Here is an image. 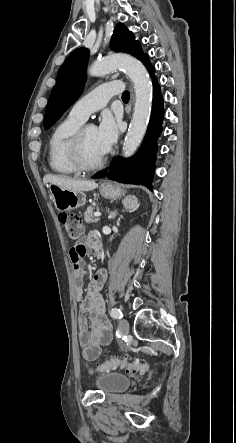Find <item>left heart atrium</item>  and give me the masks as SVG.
<instances>
[{
	"mask_svg": "<svg viewBox=\"0 0 236 443\" xmlns=\"http://www.w3.org/2000/svg\"><path fill=\"white\" fill-rule=\"evenodd\" d=\"M97 139L103 154L107 153L116 142L119 133L118 121L109 113L102 115L96 127Z\"/></svg>",
	"mask_w": 236,
	"mask_h": 443,
	"instance_id": "obj_1",
	"label": "left heart atrium"
}]
</instances>
